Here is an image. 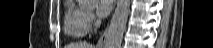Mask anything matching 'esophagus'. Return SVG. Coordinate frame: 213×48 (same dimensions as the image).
Returning a JSON list of instances; mask_svg holds the SVG:
<instances>
[{
    "instance_id": "1",
    "label": "esophagus",
    "mask_w": 213,
    "mask_h": 48,
    "mask_svg": "<svg viewBox=\"0 0 213 48\" xmlns=\"http://www.w3.org/2000/svg\"><path fill=\"white\" fill-rule=\"evenodd\" d=\"M107 30L106 29L103 33V35L100 37L98 43H97V47L98 48H103L104 47V43H105V39H106V35H107Z\"/></svg>"
}]
</instances>
